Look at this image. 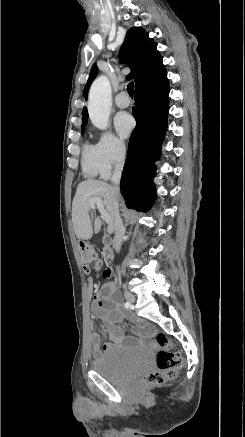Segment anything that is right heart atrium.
Instances as JSON below:
<instances>
[{
	"instance_id": "obj_1",
	"label": "right heart atrium",
	"mask_w": 245,
	"mask_h": 437,
	"mask_svg": "<svg viewBox=\"0 0 245 437\" xmlns=\"http://www.w3.org/2000/svg\"><path fill=\"white\" fill-rule=\"evenodd\" d=\"M95 153L103 177L119 167L126 155L125 142L110 131L101 132L95 144Z\"/></svg>"
}]
</instances>
